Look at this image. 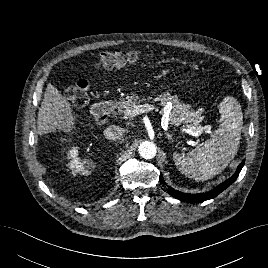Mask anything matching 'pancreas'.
I'll use <instances>...</instances> for the list:
<instances>
[{"label": "pancreas", "instance_id": "1", "mask_svg": "<svg viewBox=\"0 0 268 268\" xmlns=\"http://www.w3.org/2000/svg\"><path fill=\"white\" fill-rule=\"evenodd\" d=\"M147 100H151V98H143L140 100L135 93H131L125 99L117 101L115 107L119 114H125L126 108ZM153 102H159L161 106L166 107L167 109H172L170 112V120L172 124L179 125L191 123L193 126H197L203 119L201 109H198L197 111L192 110L189 104L180 103L176 95L172 96L168 92L158 95L153 99ZM168 103H171V106Z\"/></svg>", "mask_w": 268, "mask_h": 268}]
</instances>
